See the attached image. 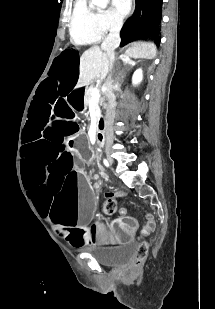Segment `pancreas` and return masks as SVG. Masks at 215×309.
<instances>
[{
	"mask_svg": "<svg viewBox=\"0 0 215 309\" xmlns=\"http://www.w3.org/2000/svg\"><path fill=\"white\" fill-rule=\"evenodd\" d=\"M93 88H96L95 84H90V86H86V88H85V94H84L85 106H89V104H90V100L92 98L91 92H92ZM94 108H95V110L98 114V118H99V116H101L99 100H98V102H96V104H94Z\"/></svg>",
	"mask_w": 215,
	"mask_h": 309,
	"instance_id": "cf45deb5",
	"label": "pancreas"
}]
</instances>
